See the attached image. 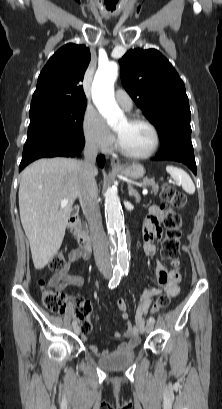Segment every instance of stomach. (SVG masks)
I'll return each instance as SVG.
<instances>
[{
    "mask_svg": "<svg viewBox=\"0 0 222 409\" xmlns=\"http://www.w3.org/2000/svg\"><path fill=\"white\" fill-rule=\"evenodd\" d=\"M121 174L132 179H139L145 175V169L141 164L133 163L116 168Z\"/></svg>",
    "mask_w": 222,
    "mask_h": 409,
    "instance_id": "stomach-1",
    "label": "stomach"
}]
</instances>
